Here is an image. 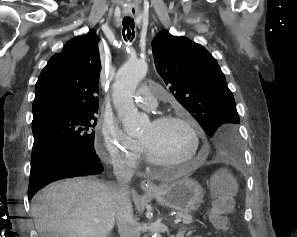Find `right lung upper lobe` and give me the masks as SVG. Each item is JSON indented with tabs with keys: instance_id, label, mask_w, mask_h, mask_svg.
I'll return each instance as SVG.
<instances>
[{
	"instance_id": "1",
	"label": "right lung upper lobe",
	"mask_w": 297,
	"mask_h": 237,
	"mask_svg": "<svg viewBox=\"0 0 297 237\" xmlns=\"http://www.w3.org/2000/svg\"><path fill=\"white\" fill-rule=\"evenodd\" d=\"M99 37L92 31L51 57L35 86L33 121L53 113L98 111Z\"/></svg>"
}]
</instances>
